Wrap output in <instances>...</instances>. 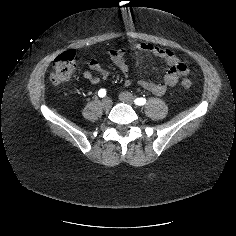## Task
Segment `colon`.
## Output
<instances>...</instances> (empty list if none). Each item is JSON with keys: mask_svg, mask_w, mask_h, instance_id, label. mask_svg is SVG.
I'll return each instance as SVG.
<instances>
[{"mask_svg": "<svg viewBox=\"0 0 236 236\" xmlns=\"http://www.w3.org/2000/svg\"><path fill=\"white\" fill-rule=\"evenodd\" d=\"M77 68L78 65L75 60L74 52L68 51L59 55L53 64V71L50 77L51 82L54 85H59L69 81ZM180 86L184 90H189L191 88V81L188 79H183L180 83Z\"/></svg>", "mask_w": 236, "mask_h": 236, "instance_id": "obj_1", "label": "colon"}]
</instances>
